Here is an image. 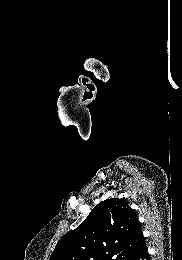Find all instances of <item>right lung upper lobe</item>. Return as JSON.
<instances>
[{"label": "right lung upper lobe", "mask_w": 182, "mask_h": 260, "mask_svg": "<svg viewBox=\"0 0 182 260\" xmlns=\"http://www.w3.org/2000/svg\"><path fill=\"white\" fill-rule=\"evenodd\" d=\"M143 241L135 211L123 199H106L58 241L49 260H122Z\"/></svg>", "instance_id": "right-lung-upper-lobe-1"}]
</instances>
